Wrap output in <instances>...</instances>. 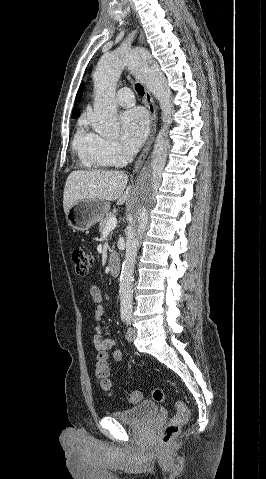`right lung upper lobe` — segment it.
Returning a JSON list of instances; mask_svg holds the SVG:
<instances>
[{
    "instance_id": "1",
    "label": "right lung upper lobe",
    "mask_w": 266,
    "mask_h": 479,
    "mask_svg": "<svg viewBox=\"0 0 266 479\" xmlns=\"http://www.w3.org/2000/svg\"><path fill=\"white\" fill-rule=\"evenodd\" d=\"M83 88L84 87H83V83H82L79 87V90H78L76 98H75L76 102H80V99H81V96H82V93H83ZM78 116H79V110L77 108H74L73 112H72V117L76 118Z\"/></svg>"
}]
</instances>
